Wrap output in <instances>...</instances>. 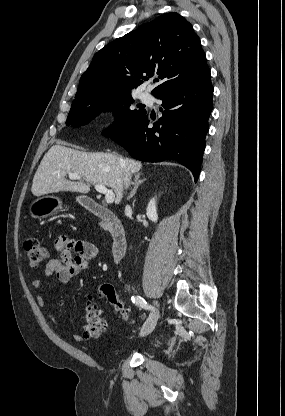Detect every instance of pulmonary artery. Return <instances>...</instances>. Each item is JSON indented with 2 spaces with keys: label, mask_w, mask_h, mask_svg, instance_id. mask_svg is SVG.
Instances as JSON below:
<instances>
[{
  "label": "pulmonary artery",
  "mask_w": 285,
  "mask_h": 416,
  "mask_svg": "<svg viewBox=\"0 0 285 416\" xmlns=\"http://www.w3.org/2000/svg\"><path fill=\"white\" fill-rule=\"evenodd\" d=\"M140 100L148 105L149 107H152L154 105V98L153 96L148 92H143L139 96Z\"/></svg>",
  "instance_id": "e3ab8cb5"
}]
</instances>
